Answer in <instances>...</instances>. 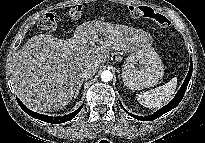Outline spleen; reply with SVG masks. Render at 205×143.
I'll use <instances>...</instances> for the list:
<instances>
[{
	"label": "spleen",
	"instance_id": "3e777b00",
	"mask_svg": "<svg viewBox=\"0 0 205 143\" xmlns=\"http://www.w3.org/2000/svg\"><path fill=\"white\" fill-rule=\"evenodd\" d=\"M177 87V78H172L168 83L137 95V100L149 109L161 108L172 99Z\"/></svg>",
	"mask_w": 205,
	"mask_h": 143
}]
</instances>
